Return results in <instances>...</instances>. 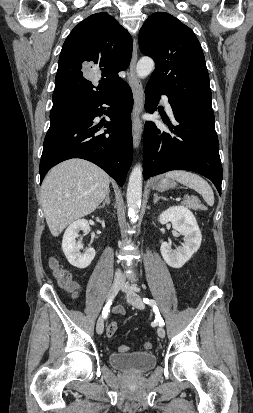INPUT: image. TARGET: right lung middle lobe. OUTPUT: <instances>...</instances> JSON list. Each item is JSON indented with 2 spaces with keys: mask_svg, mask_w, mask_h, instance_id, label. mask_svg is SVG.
<instances>
[{
  "mask_svg": "<svg viewBox=\"0 0 253 413\" xmlns=\"http://www.w3.org/2000/svg\"><path fill=\"white\" fill-rule=\"evenodd\" d=\"M73 114H75V113H73ZM73 114H69V115H65V116H58V117H50V124L61 121V120H64V119L70 117Z\"/></svg>",
  "mask_w": 253,
  "mask_h": 413,
  "instance_id": "obj_1",
  "label": "right lung middle lobe"
}]
</instances>
